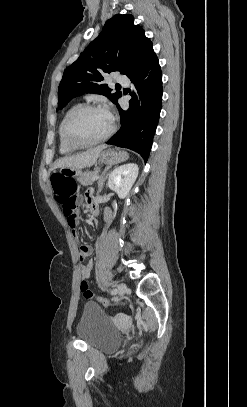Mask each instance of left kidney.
Instances as JSON below:
<instances>
[{
  "label": "left kidney",
  "instance_id": "left-kidney-1",
  "mask_svg": "<svg viewBox=\"0 0 247 407\" xmlns=\"http://www.w3.org/2000/svg\"><path fill=\"white\" fill-rule=\"evenodd\" d=\"M138 171V165L135 163H127L115 168L109 175L108 187L116 192L119 198H126L138 176Z\"/></svg>",
  "mask_w": 247,
  "mask_h": 407
}]
</instances>
